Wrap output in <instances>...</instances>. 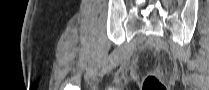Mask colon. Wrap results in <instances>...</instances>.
Here are the masks:
<instances>
[{
  "label": "colon",
  "instance_id": "1",
  "mask_svg": "<svg viewBox=\"0 0 209 90\" xmlns=\"http://www.w3.org/2000/svg\"><path fill=\"white\" fill-rule=\"evenodd\" d=\"M142 90H168V86L157 74H152L145 78Z\"/></svg>",
  "mask_w": 209,
  "mask_h": 90
}]
</instances>
